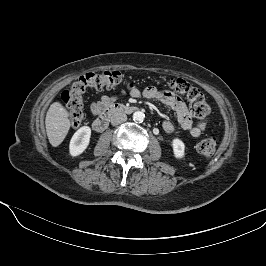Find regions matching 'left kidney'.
Listing matches in <instances>:
<instances>
[{
  "mask_svg": "<svg viewBox=\"0 0 266 266\" xmlns=\"http://www.w3.org/2000/svg\"><path fill=\"white\" fill-rule=\"evenodd\" d=\"M172 147H173V153L174 156L177 159H181L184 157V151H185V144L182 140L175 138L172 140Z\"/></svg>",
  "mask_w": 266,
  "mask_h": 266,
  "instance_id": "5707ae66",
  "label": "left kidney"
}]
</instances>
